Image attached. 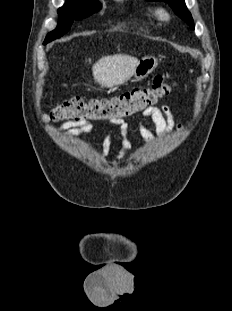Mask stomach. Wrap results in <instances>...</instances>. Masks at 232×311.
Masks as SVG:
<instances>
[{"mask_svg": "<svg viewBox=\"0 0 232 311\" xmlns=\"http://www.w3.org/2000/svg\"><path fill=\"white\" fill-rule=\"evenodd\" d=\"M158 61L154 56H145L137 62L134 70V79L140 81L146 78L157 67Z\"/></svg>", "mask_w": 232, "mask_h": 311, "instance_id": "stomach-1", "label": "stomach"}]
</instances>
